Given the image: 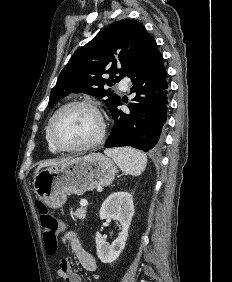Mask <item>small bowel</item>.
<instances>
[{"instance_id": "1", "label": "small bowel", "mask_w": 232, "mask_h": 282, "mask_svg": "<svg viewBox=\"0 0 232 282\" xmlns=\"http://www.w3.org/2000/svg\"><path fill=\"white\" fill-rule=\"evenodd\" d=\"M62 242L70 246L80 265L86 271H96L97 264L94 257L89 252L84 250L81 244V239L76 232H65L62 237ZM57 274L64 282H81L79 274L72 269L69 262L65 259L60 262Z\"/></svg>"}]
</instances>
